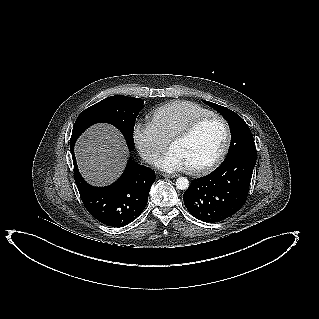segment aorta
I'll list each match as a JSON object with an SVG mask.
<instances>
[{
  "mask_svg": "<svg viewBox=\"0 0 319 319\" xmlns=\"http://www.w3.org/2000/svg\"><path fill=\"white\" fill-rule=\"evenodd\" d=\"M176 187L180 190H186L189 187V181L185 177H179L176 180Z\"/></svg>",
  "mask_w": 319,
  "mask_h": 319,
  "instance_id": "obj_1",
  "label": "aorta"
}]
</instances>
